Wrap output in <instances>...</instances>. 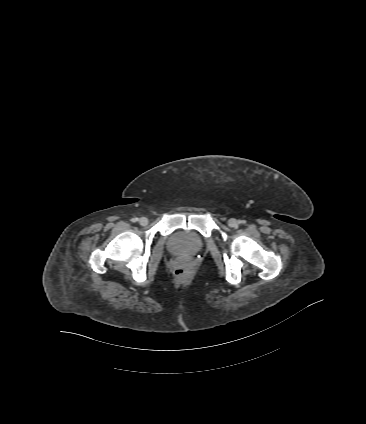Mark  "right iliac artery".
Returning <instances> with one entry per match:
<instances>
[{
  "label": "right iliac artery",
  "mask_w": 366,
  "mask_h": 424,
  "mask_svg": "<svg viewBox=\"0 0 366 424\" xmlns=\"http://www.w3.org/2000/svg\"><path fill=\"white\" fill-rule=\"evenodd\" d=\"M132 221L133 222H137V221H139V219L138 218H133Z\"/></svg>",
  "instance_id": "1"
}]
</instances>
